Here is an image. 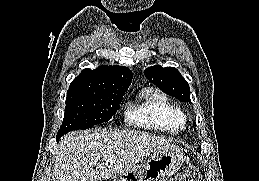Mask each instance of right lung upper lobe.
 I'll use <instances>...</instances> for the list:
<instances>
[{"label": "right lung upper lobe", "instance_id": "cb5924a9", "mask_svg": "<svg viewBox=\"0 0 259 181\" xmlns=\"http://www.w3.org/2000/svg\"><path fill=\"white\" fill-rule=\"evenodd\" d=\"M132 72L122 66L84 69L70 84L68 93L123 96L131 84Z\"/></svg>", "mask_w": 259, "mask_h": 181}]
</instances>
